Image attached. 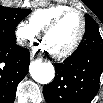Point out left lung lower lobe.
<instances>
[{"label": "left lung lower lobe", "instance_id": "0a47b994", "mask_svg": "<svg viewBox=\"0 0 103 103\" xmlns=\"http://www.w3.org/2000/svg\"><path fill=\"white\" fill-rule=\"evenodd\" d=\"M54 80L44 87L47 103H90L103 73V40L98 27L87 29L77 50L55 64Z\"/></svg>", "mask_w": 103, "mask_h": 103}]
</instances>
